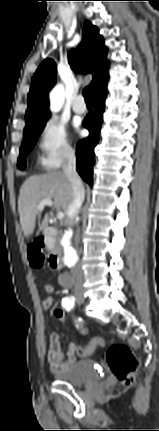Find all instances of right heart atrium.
<instances>
[{"label": "right heart atrium", "mask_w": 159, "mask_h": 431, "mask_svg": "<svg viewBox=\"0 0 159 431\" xmlns=\"http://www.w3.org/2000/svg\"><path fill=\"white\" fill-rule=\"evenodd\" d=\"M39 163L47 170L57 169L74 156L65 127L55 118L44 122L38 134Z\"/></svg>", "instance_id": "d8ad5b80"}]
</instances>
